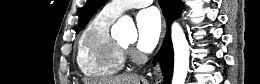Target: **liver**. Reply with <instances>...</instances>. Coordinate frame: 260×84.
<instances>
[{"instance_id":"liver-1","label":"liver","mask_w":260,"mask_h":84,"mask_svg":"<svg viewBox=\"0 0 260 84\" xmlns=\"http://www.w3.org/2000/svg\"><path fill=\"white\" fill-rule=\"evenodd\" d=\"M86 84H140V78L138 75L134 74L119 75L115 77L103 78L98 81H86Z\"/></svg>"}]
</instances>
